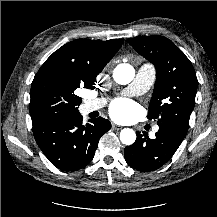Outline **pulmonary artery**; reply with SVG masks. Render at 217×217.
I'll return each mask as SVG.
<instances>
[{
  "instance_id": "e3ab8cb5",
  "label": "pulmonary artery",
  "mask_w": 217,
  "mask_h": 217,
  "mask_svg": "<svg viewBox=\"0 0 217 217\" xmlns=\"http://www.w3.org/2000/svg\"><path fill=\"white\" fill-rule=\"evenodd\" d=\"M155 76L156 71L153 65L150 63L142 64L139 67L132 83L124 90V94L130 96L144 94L151 88L154 83ZM105 104L106 100L103 98L89 100L81 105L80 111L82 114H88L101 109ZM152 130L156 133L159 130V126L155 125Z\"/></svg>"
}]
</instances>
